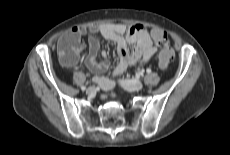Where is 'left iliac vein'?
Segmentation results:
<instances>
[{
	"label": "left iliac vein",
	"mask_w": 230,
	"mask_h": 155,
	"mask_svg": "<svg viewBox=\"0 0 230 155\" xmlns=\"http://www.w3.org/2000/svg\"><path fill=\"white\" fill-rule=\"evenodd\" d=\"M119 84L127 91H139L143 88V83L138 80H119Z\"/></svg>",
	"instance_id": "1"
}]
</instances>
